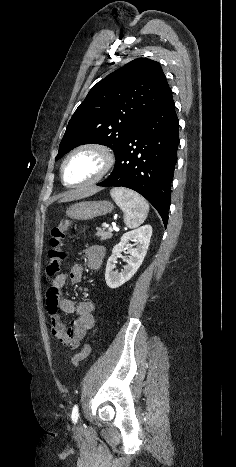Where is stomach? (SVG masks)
<instances>
[{
	"instance_id": "0dacf381",
	"label": "stomach",
	"mask_w": 236,
	"mask_h": 467,
	"mask_svg": "<svg viewBox=\"0 0 236 467\" xmlns=\"http://www.w3.org/2000/svg\"><path fill=\"white\" fill-rule=\"evenodd\" d=\"M113 208L109 201H84L67 208L66 215L75 220H90L110 213Z\"/></svg>"
}]
</instances>
